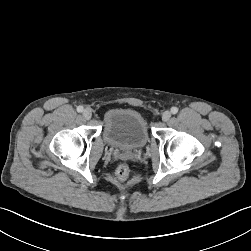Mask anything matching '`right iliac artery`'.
Returning a JSON list of instances; mask_svg holds the SVG:
<instances>
[{
	"instance_id": "right-iliac-artery-1",
	"label": "right iliac artery",
	"mask_w": 251,
	"mask_h": 251,
	"mask_svg": "<svg viewBox=\"0 0 251 251\" xmlns=\"http://www.w3.org/2000/svg\"><path fill=\"white\" fill-rule=\"evenodd\" d=\"M83 109H84L83 106H78L77 107V111L80 112V113L83 112Z\"/></svg>"
}]
</instances>
